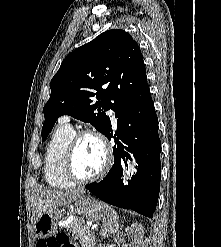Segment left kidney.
Masks as SVG:
<instances>
[{
    "label": "left kidney",
    "mask_w": 221,
    "mask_h": 247,
    "mask_svg": "<svg viewBox=\"0 0 221 247\" xmlns=\"http://www.w3.org/2000/svg\"><path fill=\"white\" fill-rule=\"evenodd\" d=\"M129 236L132 239V242L128 245H125V237ZM144 236V228L139 224H134L128 227L124 233L118 235L114 238V241L121 245L122 247H141Z\"/></svg>",
    "instance_id": "1"
}]
</instances>
